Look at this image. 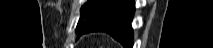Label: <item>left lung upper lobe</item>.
Instances as JSON below:
<instances>
[{
	"label": "left lung upper lobe",
	"mask_w": 213,
	"mask_h": 48,
	"mask_svg": "<svg viewBox=\"0 0 213 48\" xmlns=\"http://www.w3.org/2000/svg\"><path fill=\"white\" fill-rule=\"evenodd\" d=\"M115 1L116 0H88L81 8V17L78 21L76 31L82 32L96 13L109 7Z\"/></svg>",
	"instance_id": "5c2ea615"
}]
</instances>
